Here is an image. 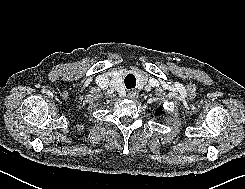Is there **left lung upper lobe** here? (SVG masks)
<instances>
[{"label":"left lung upper lobe","mask_w":245,"mask_h":189,"mask_svg":"<svg viewBox=\"0 0 245 189\" xmlns=\"http://www.w3.org/2000/svg\"><path fill=\"white\" fill-rule=\"evenodd\" d=\"M160 112H161V109H158V110H157V114L160 113Z\"/></svg>","instance_id":"left-lung-upper-lobe-1"}]
</instances>
